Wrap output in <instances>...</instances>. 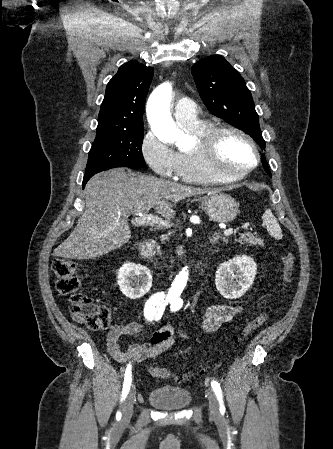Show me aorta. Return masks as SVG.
Here are the masks:
<instances>
[{
	"label": "aorta",
	"mask_w": 333,
	"mask_h": 449,
	"mask_svg": "<svg viewBox=\"0 0 333 449\" xmlns=\"http://www.w3.org/2000/svg\"><path fill=\"white\" fill-rule=\"evenodd\" d=\"M172 86L163 83L151 94L147 103V118L154 134L161 140L174 142L182 146L187 142V135L174 123L171 116ZM188 280L187 267L176 276L171 292L175 295L183 293Z\"/></svg>",
	"instance_id": "obj_1"
}]
</instances>
